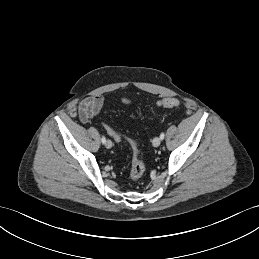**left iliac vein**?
Segmentation results:
<instances>
[{
	"label": "left iliac vein",
	"mask_w": 259,
	"mask_h": 259,
	"mask_svg": "<svg viewBox=\"0 0 259 259\" xmlns=\"http://www.w3.org/2000/svg\"><path fill=\"white\" fill-rule=\"evenodd\" d=\"M152 144L154 147H158L161 144V139L160 137H155L152 141Z\"/></svg>",
	"instance_id": "left-iliac-vein-1"
}]
</instances>
